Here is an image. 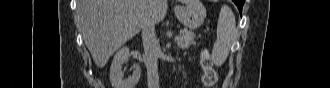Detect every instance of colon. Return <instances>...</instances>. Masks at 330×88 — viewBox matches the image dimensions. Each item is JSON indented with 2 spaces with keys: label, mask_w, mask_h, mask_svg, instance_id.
I'll list each match as a JSON object with an SVG mask.
<instances>
[{
  "label": "colon",
  "mask_w": 330,
  "mask_h": 88,
  "mask_svg": "<svg viewBox=\"0 0 330 88\" xmlns=\"http://www.w3.org/2000/svg\"><path fill=\"white\" fill-rule=\"evenodd\" d=\"M201 66L203 69V83L206 87H211L216 81V73L205 52L202 55Z\"/></svg>",
  "instance_id": "5ec220e1"
}]
</instances>
